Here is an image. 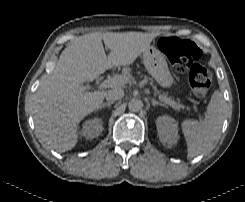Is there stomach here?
<instances>
[{"label": "stomach", "instance_id": "1", "mask_svg": "<svg viewBox=\"0 0 245 202\" xmlns=\"http://www.w3.org/2000/svg\"><path fill=\"white\" fill-rule=\"evenodd\" d=\"M143 62L148 73L161 87L169 88L173 85L174 79L169 71L166 59L157 47L150 45L143 52Z\"/></svg>", "mask_w": 245, "mask_h": 202}]
</instances>
